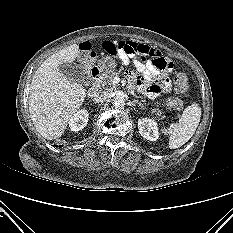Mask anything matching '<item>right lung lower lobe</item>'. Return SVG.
<instances>
[{
    "mask_svg": "<svg viewBox=\"0 0 233 233\" xmlns=\"http://www.w3.org/2000/svg\"><path fill=\"white\" fill-rule=\"evenodd\" d=\"M56 147H58V145H56ZM59 147L61 148V145H59Z\"/></svg>",
    "mask_w": 233,
    "mask_h": 233,
    "instance_id": "right-lung-lower-lobe-1",
    "label": "right lung lower lobe"
}]
</instances>
